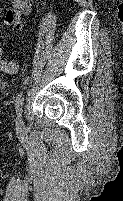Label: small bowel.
I'll use <instances>...</instances> for the list:
<instances>
[{
	"label": "small bowel",
	"instance_id": "1",
	"mask_svg": "<svg viewBox=\"0 0 123 201\" xmlns=\"http://www.w3.org/2000/svg\"><path fill=\"white\" fill-rule=\"evenodd\" d=\"M10 8L5 13L3 18V25L10 27L13 31L21 30V17L28 15L32 10L31 0H9ZM0 53L3 54V50L0 47Z\"/></svg>",
	"mask_w": 123,
	"mask_h": 201
}]
</instances>
